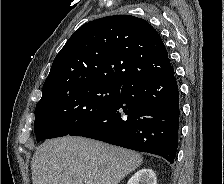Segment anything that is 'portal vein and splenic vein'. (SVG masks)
Listing matches in <instances>:
<instances>
[{"label": "portal vein and splenic vein", "instance_id": "18ae733b", "mask_svg": "<svg viewBox=\"0 0 224 184\" xmlns=\"http://www.w3.org/2000/svg\"><path fill=\"white\" fill-rule=\"evenodd\" d=\"M86 184H92V182H87Z\"/></svg>", "mask_w": 224, "mask_h": 184}]
</instances>
